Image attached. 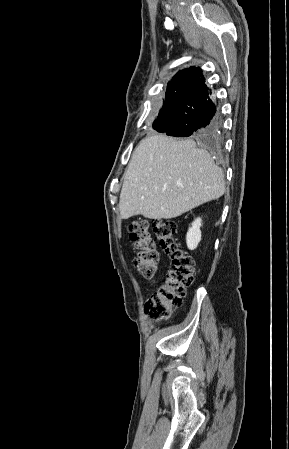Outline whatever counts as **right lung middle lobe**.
Instances as JSON below:
<instances>
[{"instance_id": "dd1d6c3e", "label": "right lung middle lobe", "mask_w": 289, "mask_h": 449, "mask_svg": "<svg viewBox=\"0 0 289 449\" xmlns=\"http://www.w3.org/2000/svg\"><path fill=\"white\" fill-rule=\"evenodd\" d=\"M171 117L172 112L168 101V95L166 93L165 103L163 105V108L160 110L158 118L154 122L153 125L154 129L157 130L158 132H163L169 126Z\"/></svg>"}]
</instances>
